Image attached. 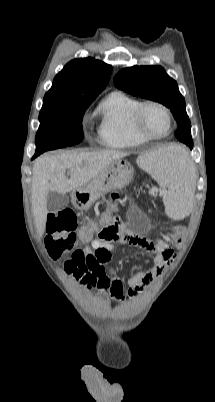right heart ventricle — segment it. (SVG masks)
<instances>
[{
    "label": "right heart ventricle",
    "instance_id": "1",
    "mask_svg": "<svg viewBox=\"0 0 215 402\" xmlns=\"http://www.w3.org/2000/svg\"><path fill=\"white\" fill-rule=\"evenodd\" d=\"M141 102L123 92L110 93L99 104L96 114L99 117L97 128L101 145L113 149H130L149 141L140 136L133 124V116Z\"/></svg>",
    "mask_w": 215,
    "mask_h": 402
}]
</instances>
